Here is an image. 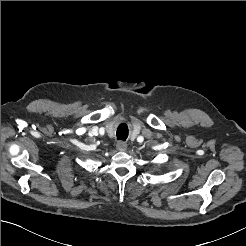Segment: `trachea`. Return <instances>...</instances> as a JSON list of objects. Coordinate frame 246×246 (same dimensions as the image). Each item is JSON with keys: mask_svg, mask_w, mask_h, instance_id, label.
Returning a JSON list of instances; mask_svg holds the SVG:
<instances>
[{"mask_svg": "<svg viewBox=\"0 0 246 246\" xmlns=\"http://www.w3.org/2000/svg\"><path fill=\"white\" fill-rule=\"evenodd\" d=\"M116 134L118 140L125 141L128 137V130L127 128L119 127Z\"/></svg>", "mask_w": 246, "mask_h": 246, "instance_id": "trachea-1", "label": "trachea"}]
</instances>
